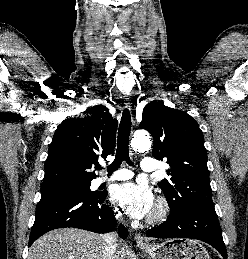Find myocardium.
Listing matches in <instances>:
<instances>
[{"label":"myocardium","instance_id":"1","mask_svg":"<svg viewBox=\"0 0 248 259\" xmlns=\"http://www.w3.org/2000/svg\"><path fill=\"white\" fill-rule=\"evenodd\" d=\"M170 205L168 201L163 197H158L153 211L148 216L147 221L151 224L160 223L169 215Z\"/></svg>","mask_w":248,"mask_h":259}]
</instances>
